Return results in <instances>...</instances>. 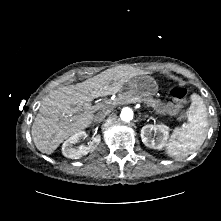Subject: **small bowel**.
I'll list each match as a JSON object with an SVG mask.
<instances>
[{
  "label": "small bowel",
  "instance_id": "1",
  "mask_svg": "<svg viewBox=\"0 0 221 221\" xmlns=\"http://www.w3.org/2000/svg\"><path fill=\"white\" fill-rule=\"evenodd\" d=\"M182 104L181 103H176V104H167L162 108V111L165 113L169 114H175L177 111L181 108Z\"/></svg>",
  "mask_w": 221,
  "mask_h": 221
}]
</instances>
